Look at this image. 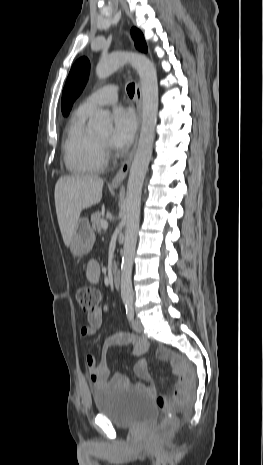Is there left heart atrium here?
I'll return each mask as SVG.
<instances>
[{"label":"left heart atrium","instance_id":"obj_1","mask_svg":"<svg viewBox=\"0 0 263 465\" xmlns=\"http://www.w3.org/2000/svg\"><path fill=\"white\" fill-rule=\"evenodd\" d=\"M136 127L137 121L130 109L124 107L115 108L110 143L118 149L127 147L134 138Z\"/></svg>","mask_w":263,"mask_h":465}]
</instances>
